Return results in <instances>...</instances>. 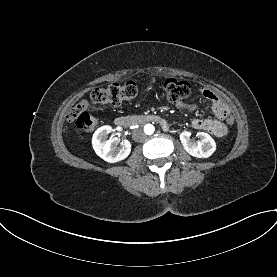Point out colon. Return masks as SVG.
<instances>
[{
  "instance_id": "5ec220e1",
  "label": "colon",
  "mask_w": 277,
  "mask_h": 277,
  "mask_svg": "<svg viewBox=\"0 0 277 277\" xmlns=\"http://www.w3.org/2000/svg\"><path fill=\"white\" fill-rule=\"evenodd\" d=\"M167 96L173 102H182L190 94V84L183 80L168 79L165 82ZM138 93V87L134 82L113 83L106 87L95 88L90 93V99L80 100L69 113V120L83 130H92L98 125V117L93 112L95 105H119L122 102L132 100ZM226 127L235 125V117L228 114L224 118Z\"/></svg>"
}]
</instances>
